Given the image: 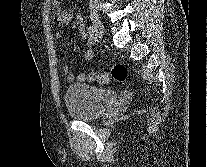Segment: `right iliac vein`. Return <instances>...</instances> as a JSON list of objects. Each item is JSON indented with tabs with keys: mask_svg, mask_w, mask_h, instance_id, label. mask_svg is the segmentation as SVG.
<instances>
[{
	"mask_svg": "<svg viewBox=\"0 0 207 167\" xmlns=\"http://www.w3.org/2000/svg\"><path fill=\"white\" fill-rule=\"evenodd\" d=\"M91 19H92V26H93V29L95 31L96 38L102 39L103 34H104L103 25H102L98 15H97L95 9H93L91 11Z\"/></svg>",
	"mask_w": 207,
	"mask_h": 167,
	"instance_id": "right-iliac-vein-1",
	"label": "right iliac vein"
}]
</instances>
